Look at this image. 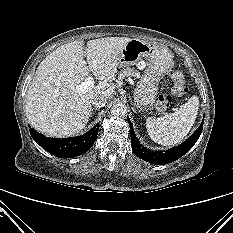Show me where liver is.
<instances>
[{
	"instance_id": "6515ba94",
	"label": "liver",
	"mask_w": 233,
	"mask_h": 233,
	"mask_svg": "<svg viewBox=\"0 0 233 233\" xmlns=\"http://www.w3.org/2000/svg\"><path fill=\"white\" fill-rule=\"evenodd\" d=\"M130 40L128 37L89 40L87 62L82 40L64 44L49 54L38 66L26 93L25 111L30 125L50 137L80 133L91 116L92 99L96 96L109 99L114 93L112 82L117 74L118 54ZM89 71L99 82L80 93L76 86L88 78Z\"/></svg>"
}]
</instances>
